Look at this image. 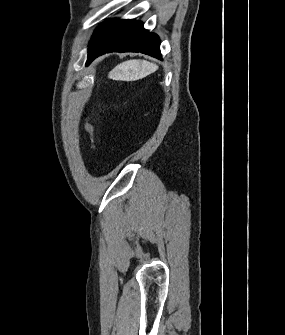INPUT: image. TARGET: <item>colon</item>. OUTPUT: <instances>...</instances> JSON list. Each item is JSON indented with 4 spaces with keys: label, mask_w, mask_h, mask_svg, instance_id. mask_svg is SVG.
<instances>
[{
    "label": "colon",
    "mask_w": 285,
    "mask_h": 335,
    "mask_svg": "<svg viewBox=\"0 0 285 335\" xmlns=\"http://www.w3.org/2000/svg\"><path fill=\"white\" fill-rule=\"evenodd\" d=\"M85 131L89 137V147L93 154L96 152L95 143V125L91 117H88L85 122Z\"/></svg>",
    "instance_id": "colon-1"
}]
</instances>
